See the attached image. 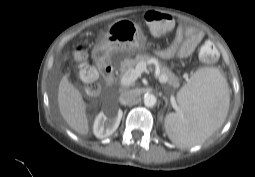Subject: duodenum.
<instances>
[{"mask_svg":"<svg viewBox=\"0 0 255 177\" xmlns=\"http://www.w3.org/2000/svg\"><path fill=\"white\" fill-rule=\"evenodd\" d=\"M96 62L106 84L111 86L114 83L115 79L114 68L112 64L106 61L104 57H97Z\"/></svg>","mask_w":255,"mask_h":177,"instance_id":"duodenum-1","label":"duodenum"}]
</instances>
